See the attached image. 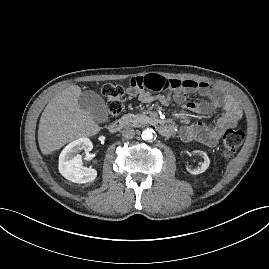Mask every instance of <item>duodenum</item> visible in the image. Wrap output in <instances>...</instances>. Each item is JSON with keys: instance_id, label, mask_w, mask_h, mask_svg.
I'll return each instance as SVG.
<instances>
[{"instance_id": "410a0bca", "label": "duodenum", "mask_w": 269, "mask_h": 269, "mask_svg": "<svg viewBox=\"0 0 269 269\" xmlns=\"http://www.w3.org/2000/svg\"><path fill=\"white\" fill-rule=\"evenodd\" d=\"M122 127H123V121L118 120V121L112 122L108 126V130L111 133H117L118 131L121 130ZM157 129L164 136H170V135H172L174 133V126L171 125V124H162V125H159L157 127Z\"/></svg>"}]
</instances>
